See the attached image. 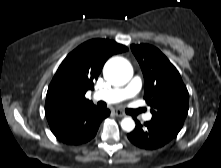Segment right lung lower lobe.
I'll use <instances>...</instances> for the list:
<instances>
[{"label": "right lung lower lobe", "mask_w": 221, "mask_h": 168, "mask_svg": "<svg viewBox=\"0 0 221 168\" xmlns=\"http://www.w3.org/2000/svg\"><path fill=\"white\" fill-rule=\"evenodd\" d=\"M110 114L108 109L96 106L83 108L70 113L48 117L52 133L58 140L70 145H78L91 140L103 119Z\"/></svg>", "instance_id": "right-lung-lower-lobe-1"}]
</instances>
